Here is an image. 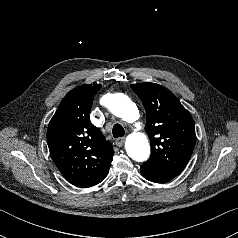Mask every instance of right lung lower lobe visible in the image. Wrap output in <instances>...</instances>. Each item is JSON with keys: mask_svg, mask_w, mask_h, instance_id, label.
<instances>
[{"mask_svg": "<svg viewBox=\"0 0 238 238\" xmlns=\"http://www.w3.org/2000/svg\"><path fill=\"white\" fill-rule=\"evenodd\" d=\"M107 175V174H106ZM106 175H104L102 178H100L98 181H96V182H94L93 184H91V185H89V186H87V187H90V186H93V185H96V184H98V183H100L101 181H103L104 180V178L106 177ZM86 188V187H85Z\"/></svg>", "mask_w": 238, "mask_h": 238, "instance_id": "right-lung-lower-lobe-1", "label": "right lung lower lobe"}]
</instances>
